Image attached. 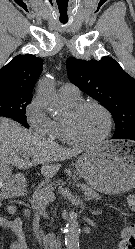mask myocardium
<instances>
[{
  "instance_id": "obj_1",
  "label": "myocardium",
  "mask_w": 135,
  "mask_h": 249,
  "mask_svg": "<svg viewBox=\"0 0 135 249\" xmlns=\"http://www.w3.org/2000/svg\"><path fill=\"white\" fill-rule=\"evenodd\" d=\"M91 106L98 108L105 115L106 122H107L106 131L104 132L102 136L96 139H92V140L82 139L75 133L71 121L65 120L66 131L73 144L80 145V146H94V145H97L103 142L111 134L112 126H113V119H112L111 112L99 102L92 101V100L78 102L75 106H73L70 109L69 116L73 118L76 115H78L83 109L87 107H91Z\"/></svg>"
}]
</instances>
